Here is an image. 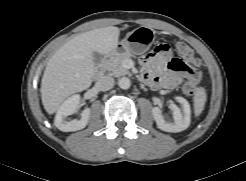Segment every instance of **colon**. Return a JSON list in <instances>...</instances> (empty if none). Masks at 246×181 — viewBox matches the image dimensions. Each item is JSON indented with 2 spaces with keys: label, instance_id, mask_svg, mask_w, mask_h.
<instances>
[{
  "label": "colon",
  "instance_id": "5ec220e1",
  "mask_svg": "<svg viewBox=\"0 0 246 181\" xmlns=\"http://www.w3.org/2000/svg\"><path fill=\"white\" fill-rule=\"evenodd\" d=\"M163 46L156 47V50H159ZM175 50L179 55L186 60L188 63V80L184 83L182 89L183 92L187 95H194L197 90V83L200 81V61L195 57L192 49L183 42H177L174 45Z\"/></svg>",
  "mask_w": 246,
  "mask_h": 181
}]
</instances>
